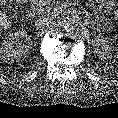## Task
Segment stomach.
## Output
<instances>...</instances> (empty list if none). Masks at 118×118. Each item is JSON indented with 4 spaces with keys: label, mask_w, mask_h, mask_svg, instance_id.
I'll return each mask as SVG.
<instances>
[{
    "label": "stomach",
    "mask_w": 118,
    "mask_h": 118,
    "mask_svg": "<svg viewBox=\"0 0 118 118\" xmlns=\"http://www.w3.org/2000/svg\"><path fill=\"white\" fill-rule=\"evenodd\" d=\"M115 1L116 0H96L99 7L105 12H108L113 9Z\"/></svg>",
    "instance_id": "obj_1"
}]
</instances>
